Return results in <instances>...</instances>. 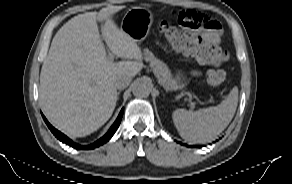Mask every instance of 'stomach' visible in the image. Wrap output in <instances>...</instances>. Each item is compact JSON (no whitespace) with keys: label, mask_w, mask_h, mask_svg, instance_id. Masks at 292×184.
<instances>
[{"label":"stomach","mask_w":292,"mask_h":184,"mask_svg":"<svg viewBox=\"0 0 292 184\" xmlns=\"http://www.w3.org/2000/svg\"><path fill=\"white\" fill-rule=\"evenodd\" d=\"M152 23L153 13L150 10L142 7H133L124 15L121 23V30L129 35L135 42H141L147 37ZM175 81L177 88L183 86L181 74L176 76Z\"/></svg>","instance_id":"stomach-1"}]
</instances>
